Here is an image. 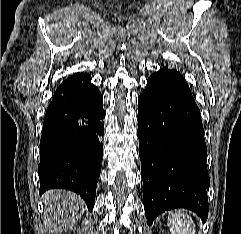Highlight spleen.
<instances>
[{"label":"spleen","instance_id":"obj_1","mask_svg":"<svg viewBox=\"0 0 241 234\" xmlns=\"http://www.w3.org/2000/svg\"><path fill=\"white\" fill-rule=\"evenodd\" d=\"M168 226L171 234H195L193 220L183 211H176L169 214Z\"/></svg>","mask_w":241,"mask_h":234}]
</instances>
